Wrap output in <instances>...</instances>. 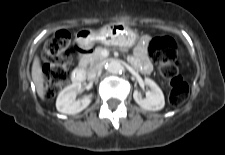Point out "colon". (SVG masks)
Listing matches in <instances>:
<instances>
[{
    "label": "colon",
    "mask_w": 225,
    "mask_h": 155,
    "mask_svg": "<svg viewBox=\"0 0 225 155\" xmlns=\"http://www.w3.org/2000/svg\"><path fill=\"white\" fill-rule=\"evenodd\" d=\"M70 39L68 31L60 30L45 44L43 72L47 99L54 98L69 78ZM148 51L151 58L158 64L160 75L170 86L169 104L173 107L180 106L189 93L188 84L179 73L182 49L170 37H157L150 41Z\"/></svg>",
    "instance_id": "5ec220e1"
}]
</instances>
